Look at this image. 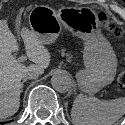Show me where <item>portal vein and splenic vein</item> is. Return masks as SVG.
Masks as SVG:
<instances>
[{
  "label": "portal vein and splenic vein",
  "instance_id": "18ae733b",
  "mask_svg": "<svg viewBox=\"0 0 125 125\" xmlns=\"http://www.w3.org/2000/svg\"><path fill=\"white\" fill-rule=\"evenodd\" d=\"M26 59H27L26 56H21V57L18 58V61L24 62Z\"/></svg>",
  "mask_w": 125,
  "mask_h": 125
}]
</instances>
